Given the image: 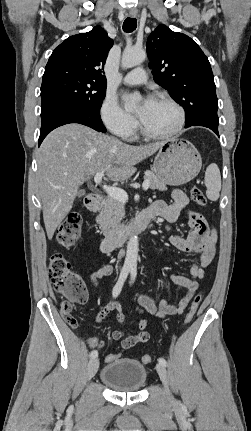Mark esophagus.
Instances as JSON below:
<instances>
[{
	"label": "esophagus",
	"mask_w": 251,
	"mask_h": 431,
	"mask_svg": "<svg viewBox=\"0 0 251 431\" xmlns=\"http://www.w3.org/2000/svg\"><path fill=\"white\" fill-rule=\"evenodd\" d=\"M129 16H130L131 18H136V17L138 16V13H137V11H130V12H129Z\"/></svg>",
	"instance_id": "obj_1"
}]
</instances>
